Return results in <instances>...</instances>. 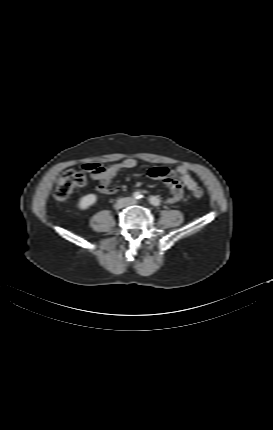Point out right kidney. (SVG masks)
I'll return each mask as SVG.
<instances>
[{
  "label": "right kidney",
  "instance_id": "ca27d5eb",
  "mask_svg": "<svg viewBox=\"0 0 273 430\" xmlns=\"http://www.w3.org/2000/svg\"><path fill=\"white\" fill-rule=\"evenodd\" d=\"M97 195L94 193L86 194L78 200L77 207L80 210H86L92 205H94L97 201Z\"/></svg>",
  "mask_w": 273,
  "mask_h": 430
}]
</instances>
